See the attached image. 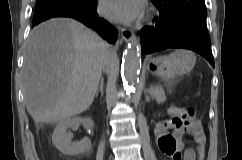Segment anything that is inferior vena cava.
Listing matches in <instances>:
<instances>
[{
    "label": "inferior vena cava",
    "mask_w": 242,
    "mask_h": 160,
    "mask_svg": "<svg viewBox=\"0 0 242 160\" xmlns=\"http://www.w3.org/2000/svg\"><path fill=\"white\" fill-rule=\"evenodd\" d=\"M110 57H112L111 59H110V62L111 63H114L115 62V60L117 59V52H114L115 51V48L114 47H111L110 48ZM111 63H108L107 64V67L108 68H100V73H117V68H111L112 67V64Z\"/></svg>",
    "instance_id": "inferior-vena-cava-1"
}]
</instances>
